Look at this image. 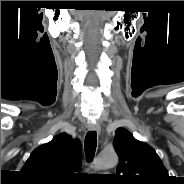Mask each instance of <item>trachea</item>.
Returning <instances> with one entry per match:
<instances>
[{
  "label": "trachea",
  "instance_id": "trachea-1",
  "mask_svg": "<svg viewBox=\"0 0 184 184\" xmlns=\"http://www.w3.org/2000/svg\"><path fill=\"white\" fill-rule=\"evenodd\" d=\"M96 146H97V134L95 131H91L86 134L84 142L85 154L89 161H91L94 158Z\"/></svg>",
  "mask_w": 184,
  "mask_h": 184
}]
</instances>
